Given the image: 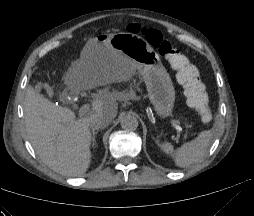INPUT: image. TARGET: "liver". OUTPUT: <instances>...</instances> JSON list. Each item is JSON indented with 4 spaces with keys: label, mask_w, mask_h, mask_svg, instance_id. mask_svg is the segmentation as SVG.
Segmentation results:
<instances>
[{
    "label": "liver",
    "mask_w": 254,
    "mask_h": 216,
    "mask_svg": "<svg viewBox=\"0 0 254 216\" xmlns=\"http://www.w3.org/2000/svg\"><path fill=\"white\" fill-rule=\"evenodd\" d=\"M86 47L80 55L84 56ZM135 74L121 54H115L106 65L94 67L72 64L65 84L90 90L112 83L127 82ZM121 95L101 90L92 102L91 111L77 118L67 107L57 106L31 87L26 91L24 120L31 145L40 159L52 170L65 176H82L91 163L89 118L100 115L112 121L118 113Z\"/></svg>",
    "instance_id": "obj_1"
}]
</instances>
